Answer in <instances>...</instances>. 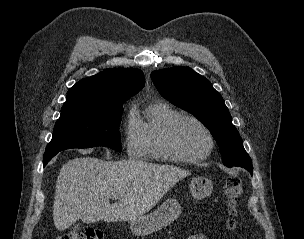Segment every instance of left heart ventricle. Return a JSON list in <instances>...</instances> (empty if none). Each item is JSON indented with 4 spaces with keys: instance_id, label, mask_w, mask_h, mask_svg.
Instances as JSON below:
<instances>
[{
    "instance_id": "1",
    "label": "left heart ventricle",
    "mask_w": 304,
    "mask_h": 239,
    "mask_svg": "<svg viewBox=\"0 0 304 239\" xmlns=\"http://www.w3.org/2000/svg\"><path fill=\"white\" fill-rule=\"evenodd\" d=\"M175 139L186 154L197 155L208 147V138L203 129L192 121H183L177 128Z\"/></svg>"
}]
</instances>
